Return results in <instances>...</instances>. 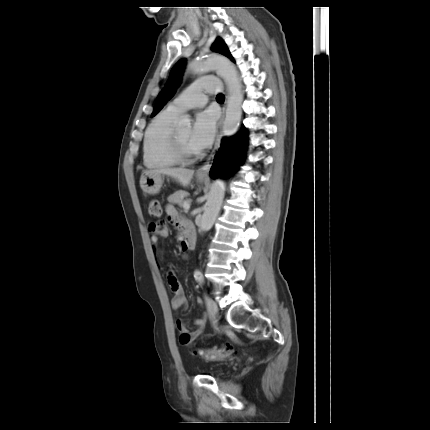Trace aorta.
I'll use <instances>...</instances> for the list:
<instances>
[{"mask_svg":"<svg viewBox=\"0 0 430 430\" xmlns=\"http://www.w3.org/2000/svg\"><path fill=\"white\" fill-rule=\"evenodd\" d=\"M188 68L195 74H204L214 70L224 78L228 86L229 99L223 123V134L225 136L233 135L237 131L241 121L244 99L241 79L235 66L227 58L211 54L206 57L193 59L189 62ZM179 126L184 129L190 128V118L183 116L179 121ZM224 195V181L216 179L210 187L205 210L200 221L199 230L201 232L209 231L212 228L219 214Z\"/></svg>","mask_w":430,"mask_h":430,"instance_id":"aorta-1","label":"aorta"}]
</instances>
